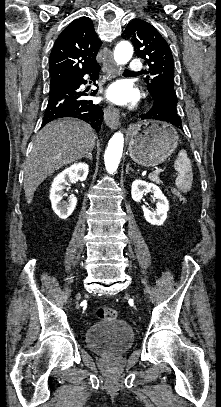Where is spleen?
Masks as SVG:
<instances>
[{
	"instance_id": "spleen-1",
	"label": "spleen",
	"mask_w": 221,
	"mask_h": 407,
	"mask_svg": "<svg viewBox=\"0 0 221 407\" xmlns=\"http://www.w3.org/2000/svg\"><path fill=\"white\" fill-rule=\"evenodd\" d=\"M174 168L178 172L175 180L176 187L183 193L190 191L193 182V172L191 161L187 156L186 150L179 151L177 159L174 162Z\"/></svg>"
}]
</instances>
